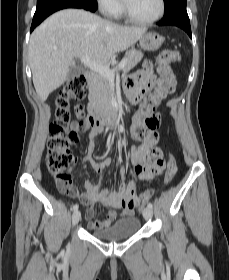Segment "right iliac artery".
Here are the masks:
<instances>
[{
  "label": "right iliac artery",
  "mask_w": 229,
  "mask_h": 280,
  "mask_svg": "<svg viewBox=\"0 0 229 280\" xmlns=\"http://www.w3.org/2000/svg\"><path fill=\"white\" fill-rule=\"evenodd\" d=\"M78 207H79L78 204H74L73 207H72V210L76 211V210H78Z\"/></svg>",
  "instance_id": "82829eb1"
}]
</instances>
